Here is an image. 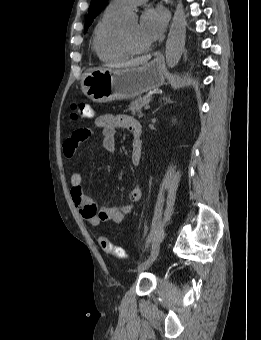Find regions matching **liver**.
I'll return each instance as SVG.
<instances>
[{"instance_id": "liver-1", "label": "liver", "mask_w": 261, "mask_h": 340, "mask_svg": "<svg viewBox=\"0 0 261 340\" xmlns=\"http://www.w3.org/2000/svg\"><path fill=\"white\" fill-rule=\"evenodd\" d=\"M150 59V56H146V57H140V58H137V59H134V60H130L128 62H125V63H122V64H118V65H106L104 67H108V68H126V67H136V66H139V65H143L145 64L148 60ZM102 69V68H100Z\"/></svg>"}]
</instances>
